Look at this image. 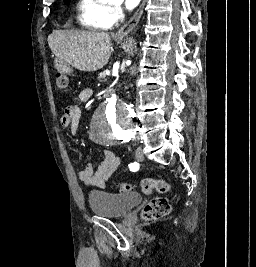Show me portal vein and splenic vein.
<instances>
[{"label":"portal vein and splenic vein","mask_w":256,"mask_h":267,"mask_svg":"<svg viewBox=\"0 0 256 267\" xmlns=\"http://www.w3.org/2000/svg\"><path fill=\"white\" fill-rule=\"evenodd\" d=\"M105 73H106V75H109L110 70H109V69H106V70H105Z\"/></svg>","instance_id":"obj_1"}]
</instances>
